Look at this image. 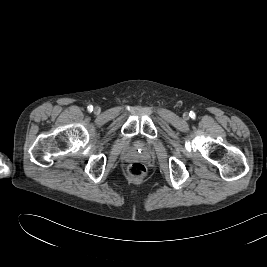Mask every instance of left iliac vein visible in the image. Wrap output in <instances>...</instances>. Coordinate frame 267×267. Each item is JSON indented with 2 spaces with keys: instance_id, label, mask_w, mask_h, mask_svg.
Wrapping results in <instances>:
<instances>
[{
  "instance_id": "4c4485c4",
  "label": "left iliac vein",
  "mask_w": 267,
  "mask_h": 267,
  "mask_svg": "<svg viewBox=\"0 0 267 267\" xmlns=\"http://www.w3.org/2000/svg\"><path fill=\"white\" fill-rule=\"evenodd\" d=\"M184 118H185V119H188V118H189L188 113H185V114H184Z\"/></svg>"
}]
</instances>
